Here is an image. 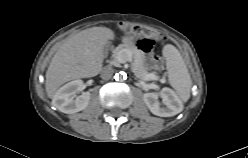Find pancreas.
Wrapping results in <instances>:
<instances>
[{
	"label": "pancreas",
	"instance_id": "pancreas-1",
	"mask_svg": "<svg viewBox=\"0 0 248 158\" xmlns=\"http://www.w3.org/2000/svg\"><path fill=\"white\" fill-rule=\"evenodd\" d=\"M142 56V52L132 45H121L114 54L115 59L119 62H124L130 58L140 77L149 78L155 76L154 73H149L145 69Z\"/></svg>",
	"mask_w": 248,
	"mask_h": 158
}]
</instances>
